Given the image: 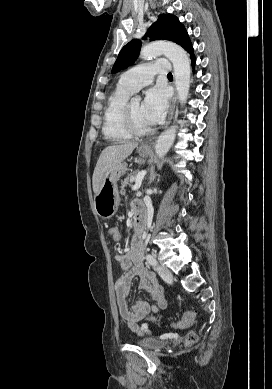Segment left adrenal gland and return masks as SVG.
Segmentation results:
<instances>
[{"mask_svg": "<svg viewBox=\"0 0 272 389\" xmlns=\"http://www.w3.org/2000/svg\"><path fill=\"white\" fill-rule=\"evenodd\" d=\"M156 173L154 172V170H152L151 172H150V177H149V184H151L153 181H154V179L156 178Z\"/></svg>", "mask_w": 272, "mask_h": 389, "instance_id": "left-adrenal-gland-1", "label": "left adrenal gland"}]
</instances>
